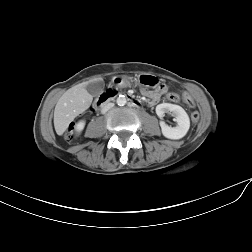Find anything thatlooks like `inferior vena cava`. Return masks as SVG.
<instances>
[{
	"label": "inferior vena cava",
	"mask_w": 252,
	"mask_h": 252,
	"mask_svg": "<svg viewBox=\"0 0 252 252\" xmlns=\"http://www.w3.org/2000/svg\"><path fill=\"white\" fill-rule=\"evenodd\" d=\"M114 106L113 103H107L103 106V112H106L107 110H109L110 108H112Z\"/></svg>",
	"instance_id": "obj_1"
}]
</instances>
